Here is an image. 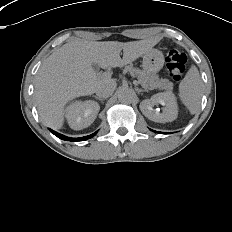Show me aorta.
I'll list each match as a JSON object with an SVG mask.
<instances>
[{"instance_id":"obj_1","label":"aorta","mask_w":232,"mask_h":232,"mask_svg":"<svg viewBox=\"0 0 232 232\" xmlns=\"http://www.w3.org/2000/svg\"><path fill=\"white\" fill-rule=\"evenodd\" d=\"M135 97V93L132 89L129 88H122L118 92V100L123 103H132L133 99Z\"/></svg>"}]
</instances>
